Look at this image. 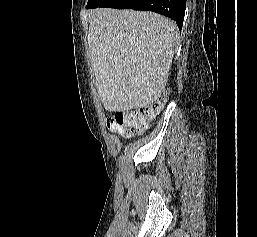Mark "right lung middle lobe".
Returning a JSON list of instances; mask_svg holds the SVG:
<instances>
[{
  "label": "right lung middle lobe",
  "instance_id": "right-lung-middle-lobe-1",
  "mask_svg": "<svg viewBox=\"0 0 257 237\" xmlns=\"http://www.w3.org/2000/svg\"><path fill=\"white\" fill-rule=\"evenodd\" d=\"M107 1L108 0H88L86 8L87 7H93V8L100 7Z\"/></svg>",
  "mask_w": 257,
  "mask_h": 237
}]
</instances>
